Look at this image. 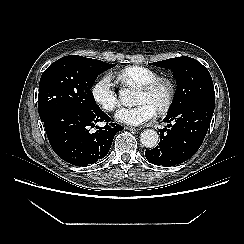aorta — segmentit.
<instances>
[{
  "instance_id": "762f6f07",
  "label": "aorta",
  "mask_w": 244,
  "mask_h": 244,
  "mask_svg": "<svg viewBox=\"0 0 244 244\" xmlns=\"http://www.w3.org/2000/svg\"><path fill=\"white\" fill-rule=\"evenodd\" d=\"M120 100L124 105L132 104L131 92L128 89L120 91ZM140 142L146 148H153L157 146L159 142V135L153 129L144 130L140 135Z\"/></svg>"
}]
</instances>
